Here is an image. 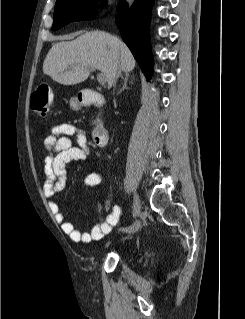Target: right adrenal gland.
<instances>
[{
	"mask_svg": "<svg viewBox=\"0 0 245 319\" xmlns=\"http://www.w3.org/2000/svg\"><path fill=\"white\" fill-rule=\"evenodd\" d=\"M131 77L132 76H130L128 73L125 74V77L123 78L124 79L123 86L118 93H121L123 90L128 89L127 83H128L129 78H131Z\"/></svg>",
	"mask_w": 245,
	"mask_h": 319,
	"instance_id": "1",
	"label": "right adrenal gland"
}]
</instances>
